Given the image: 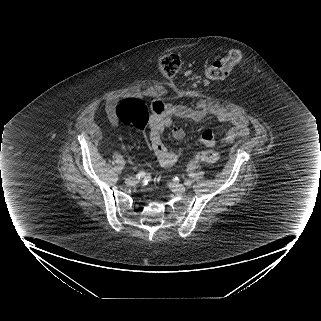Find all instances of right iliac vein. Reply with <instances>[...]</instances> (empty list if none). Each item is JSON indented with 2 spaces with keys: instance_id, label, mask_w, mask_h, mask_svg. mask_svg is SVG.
<instances>
[{
  "instance_id": "right-iliac-vein-1",
  "label": "right iliac vein",
  "mask_w": 321,
  "mask_h": 321,
  "mask_svg": "<svg viewBox=\"0 0 321 321\" xmlns=\"http://www.w3.org/2000/svg\"><path fill=\"white\" fill-rule=\"evenodd\" d=\"M137 183V180L133 177L127 178L126 179V184L129 186H133Z\"/></svg>"
}]
</instances>
